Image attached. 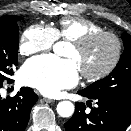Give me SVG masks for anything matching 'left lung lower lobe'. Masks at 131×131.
I'll return each mask as SVG.
<instances>
[{
	"label": "left lung lower lobe",
	"mask_w": 131,
	"mask_h": 131,
	"mask_svg": "<svg viewBox=\"0 0 131 131\" xmlns=\"http://www.w3.org/2000/svg\"><path fill=\"white\" fill-rule=\"evenodd\" d=\"M78 94L97 101V107L86 113L84 103H76L75 113L64 126L66 131H125L131 124V108L102 97H90L82 90Z\"/></svg>",
	"instance_id": "1"
}]
</instances>
